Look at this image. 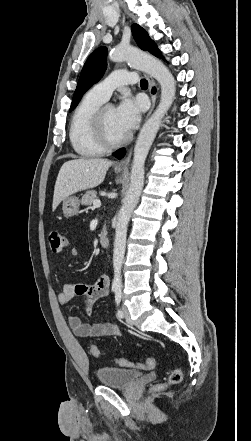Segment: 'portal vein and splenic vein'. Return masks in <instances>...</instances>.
I'll return each instance as SVG.
<instances>
[{
  "instance_id": "1",
  "label": "portal vein and splenic vein",
  "mask_w": 251,
  "mask_h": 441,
  "mask_svg": "<svg viewBox=\"0 0 251 441\" xmlns=\"http://www.w3.org/2000/svg\"><path fill=\"white\" fill-rule=\"evenodd\" d=\"M93 206H94L95 208L100 207V206H101V201H100L99 199L94 200V201H93Z\"/></svg>"
}]
</instances>
